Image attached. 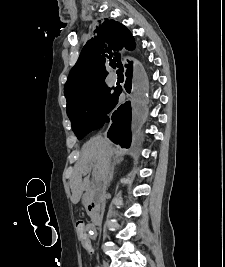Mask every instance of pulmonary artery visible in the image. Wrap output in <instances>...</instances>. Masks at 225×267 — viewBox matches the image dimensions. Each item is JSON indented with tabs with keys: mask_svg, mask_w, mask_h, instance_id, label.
Wrapping results in <instances>:
<instances>
[{
	"mask_svg": "<svg viewBox=\"0 0 225 267\" xmlns=\"http://www.w3.org/2000/svg\"><path fill=\"white\" fill-rule=\"evenodd\" d=\"M117 75L115 74V73H112L111 74V80L113 81V82H117Z\"/></svg>",
	"mask_w": 225,
	"mask_h": 267,
	"instance_id": "1",
	"label": "pulmonary artery"
}]
</instances>
